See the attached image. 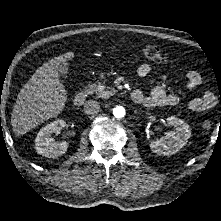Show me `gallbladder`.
<instances>
[{
  "label": "gallbladder",
  "mask_w": 221,
  "mask_h": 221,
  "mask_svg": "<svg viewBox=\"0 0 221 221\" xmlns=\"http://www.w3.org/2000/svg\"><path fill=\"white\" fill-rule=\"evenodd\" d=\"M68 73V64L67 63H61L59 66L58 74L60 76H65Z\"/></svg>",
  "instance_id": "1"
}]
</instances>
